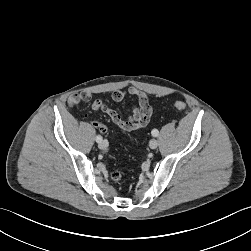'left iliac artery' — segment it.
Wrapping results in <instances>:
<instances>
[{
  "instance_id": "1",
  "label": "left iliac artery",
  "mask_w": 251,
  "mask_h": 251,
  "mask_svg": "<svg viewBox=\"0 0 251 251\" xmlns=\"http://www.w3.org/2000/svg\"><path fill=\"white\" fill-rule=\"evenodd\" d=\"M151 134H152V136L157 137L158 134H159V132H158L157 129H153L152 132H151Z\"/></svg>"
}]
</instances>
